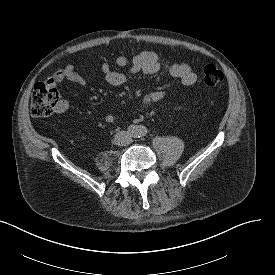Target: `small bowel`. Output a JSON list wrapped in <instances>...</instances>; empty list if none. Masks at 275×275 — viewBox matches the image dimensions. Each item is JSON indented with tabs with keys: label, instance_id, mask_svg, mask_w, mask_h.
<instances>
[{
	"label": "small bowel",
	"instance_id": "c3829d8e",
	"mask_svg": "<svg viewBox=\"0 0 275 275\" xmlns=\"http://www.w3.org/2000/svg\"><path fill=\"white\" fill-rule=\"evenodd\" d=\"M115 65L119 68L126 67L132 74L143 73L145 75H153L160 71H164L168 76L180 80L185 86H192L197 81V76L189 65L183 63H163L158 55L152 51L139 53L132 58L119 56L115 60ZM100 69L108 84L120 86L125 83L126 75L120 71L113 70L108 62H103ZM63 81H70L81 87L87 85L85 78L76 71L73 65H67L63 69L56 71L47 80V83L50 86H55ZM165 95V91L161 89L151 91L142 98L139 106L140 108H146L153 103L163 100ZM66 108V101L61 100L56 112L63 113ZM105 120L107 123L111 124L115 122L116 117L113 114H107Z\"/></svg>",
	"mask_w": 275,
	"mask_h": 275
}]
</instances>
